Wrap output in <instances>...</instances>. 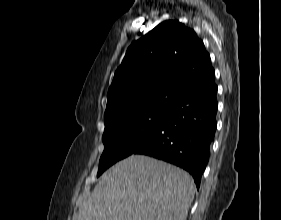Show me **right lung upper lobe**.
Returning a JSON list of instances; mask_svg holds the SVG:
<instances>
[{
	"label": "right lung upper lobe",
	"mask_w": 281,
	"mask_h": 220,
	"mask_svg": "<svg viewBox=\"0 0 281 220\" xmlns=\"http://www.w3.org/2000/svg\"><path fill=\"white\" fill-rule=\"evenodd\" d=\"M214 80L210 55L194 30L164 21L128 48L108 90L105 126L130 114L169 111Z\"/></svg>",
	"instance_id": "obj_1"
}]
</instances>
